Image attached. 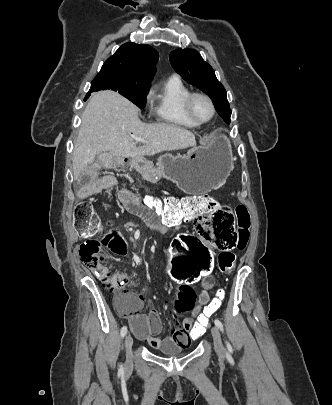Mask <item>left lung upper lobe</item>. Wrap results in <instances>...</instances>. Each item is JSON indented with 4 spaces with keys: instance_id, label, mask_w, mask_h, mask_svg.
Masks as SVG:
<instances>
[{
    "instance_id": "left-lung-upper-lobe-1",
    "label": "left lung upper lobe",
    "mask_w": 332,
    "mask_h": 405,
    "mask_svg": "<svg viewBox=\"0 0 332 405\" xmlns=\"http://www.w3.org/2000/svg\"><path fill=\"white\" fill-rule=\"evenodd\" d=\"M174 70L188 83L206 93L216 107L218 114L230 123L231 110L223 85L217 80L212 67L193 49H177L170 53Z\"/></svg>"
}]
</instances>
